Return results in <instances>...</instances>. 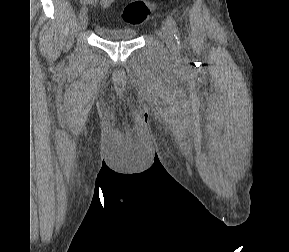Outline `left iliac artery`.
Masks as SVG:
<instances>
[{
  "instance_id": "1",
  "label": "left iliac artery",
  "mask_w": 289,
  "mask_h": 252,
  "mask_svg": "<svg viewBox=\"0 0 289 252\" xmlns=\"http://www.w3.org/2000/svg\"><path fill=\"white\" fill-rule=\"evenodd\" d=\"M167 23H168L175 39H176L178 47H180L181 46L180 31H179V28L177 26L175 19L172 16L168 15L167 16Z\"/></svg>"
}]
</instances>
